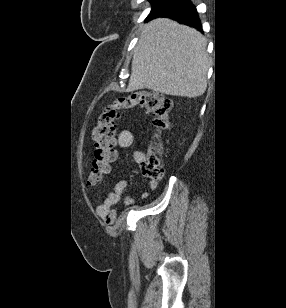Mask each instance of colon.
<instances>
[{"instance_id": "obj_1", "label": "colon", "mask_w": 286, "mask_h": 308, "mask_svg": "<svg viewBox=\"0 0 286 308\" xmlns=\"http://www.w3.org/2000/svg\"><path fill=\"white\" fill-rule=\"evenodd\" d=\"M173 107L171 100L152 90H138L116 98L107 105L99 115L98 122L93 131L95 145L94 161L90 168L87 186H96L103 180L109 171L110 164L116 158L115 137L116 121L121 111L142 108L153 115V126L158 132H164L171 126L168 115ZM162 149L153 145L141 162L143 174L152 180L162 177L161 164Z\"/></svg>"}]
</instances>
